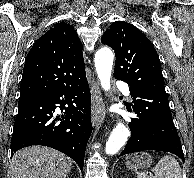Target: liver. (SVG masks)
<instances>
[{"mask_svg":"<svg viewBox=\"0 0 194 178\" xmlns=\"http://www.w3.org/2000/svg\"><path fill=\"white\" fill-rule=\"evenodd\" d=\"M73 161L63 153L44 146L17 151L12 158L11 178H65Z\"/></svg>","mask_w":194,"mask_h":178,"instance_id":"liver-1","label":"liver"}]
</instances>
